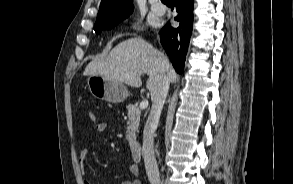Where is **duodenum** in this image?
<instances>
[{"mask_svg":"<svg viewBox=\"0 0 293 184\" xmlns=\"http://www.w3.org/2000/svg\"><path fill=\"white\" fill-rule=\"evenodd\" d=\"M131 156L134 161H138L142 155V145L139 141H132L130 144Z\"/></svg>","mask_w":293,"mask_h":184,"instance_id":"1","label":"duodenum"}]
</instances>
